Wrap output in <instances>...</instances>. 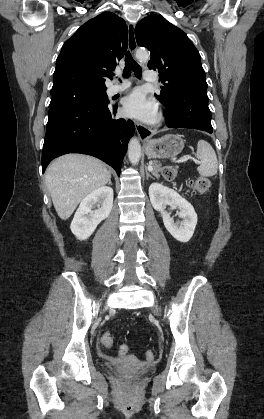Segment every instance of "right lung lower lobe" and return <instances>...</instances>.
<instances>
[{
	"mask_svg": "<svg viewBox=\"0 0 264 419\" xmlns=\"http://www.w3.org/2000/svg\"><path fill=\"white\" fill-rule=\"evenodd\" d=\"M117 106L87 100L60 101L49 106L42 151V170L66 153L95 156L120 175L121 164L133 136V121L114 119Z\"/></svg>",
	"mask_w": 264,
	"mask_h": 419,
	"instance_id": "right-lung-lower-lobe-1",
	"label": "right lung lower lobe"
}]
</instances>
